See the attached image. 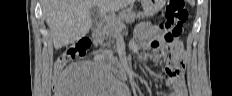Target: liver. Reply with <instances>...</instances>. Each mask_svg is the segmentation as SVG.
I'll list each match as a JSON object with an SVG mask.
<instances>
[{
    "label": "liver",
    "instance_id": "6515ba94",
    "mask_svg": "<svg viewBox=\"0 0 232 96\" xmlns=\"http://www.w3.org/2000/svg\"><path fill=\"white\" fill-rule=\"evenodd\" d=\"M133 0H42V8L55 49L74 43L90 30V11L97 6L100 14L118 11Z\"/></svg>",
    "mask_w": 232,
    "mask_h": 96
}]
</instances>
